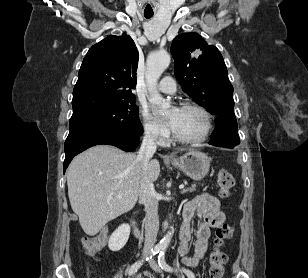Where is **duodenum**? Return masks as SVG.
<instances>
[{
	"label": "duodenum",
	"instance_id": "obj_1",
	"mask_svg": "<svg viewBox=\"0 0 308 278\" xmlns=\"http://www.w3.org/2000/svg\"><path fill=\"white\" fill-rule=\"evenodd\" d=\"M130 225L132 227V231L134 233V235L137 237V238H142V232L141 230L139 229L138 225H137V221H136V214L133 215V217L131 218L130 220ZM167 229H165L164 232H166Z\"/></svg>",
	"mask_w": 308,
	"mask_h": 278
}]
</instances>
